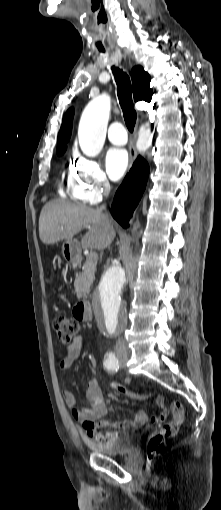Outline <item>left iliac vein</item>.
Returning a JSON list of instances; mask_svg holds the SVG:
<instances>
[{"label": "left iliac vein", "mask_w": 221, "mask_h": 510, "mask_svg": "<svg viewBox=\"0 0 221 510\" xmlns=\"http://www.w3.org/2000/svg\"><path fill=\"white\" fill-rule=\"evenodd\" d=\"M126 360H127V355L125 354L123 358H120V366L121 367L126 366Z\"/></svg>", "instance_id": "1"}]
</instances>
